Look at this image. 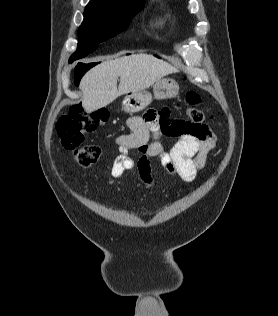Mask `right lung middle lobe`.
I'll return each mask as SVG.
<instances>
[{
	"label": "right lung middle lobe",
	"instance_id": "obj_1",
	"mask_svg": "<svg viewBox=\"0 0 278 316\" xmlns=\"http://www.w3.org/2000/svg\"><path fill=\"white\" fill-rule=\"evenodd\" d=\"M144 2L131 6H86L84 20L78 30V46L69 62L96 50L98 44L124 31ZM87 70L76 71L80 76Z\"/></svg>",
	"mask_w": 278,
	"mask_h": 316
}]
</instances>
